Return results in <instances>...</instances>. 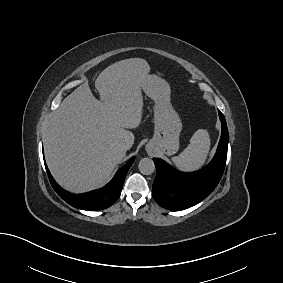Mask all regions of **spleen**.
I'll return each mask as SVG.
<instances>
[{"label": "spleen", "mask_w": 283, "mask_h": 283, "mask_svg": "<svg viewBox=\"0 0 283 283\" xmlns=\"http://www.w3.org/2000/svg\"><path fill=\"white\" fill-rule=\"evenodd\" d=\"M210 136L206 129L197 130L190 139V144L172 158L174 165L182 171L200 169L207 159L210 150Z\"/></svg>", "instance_id": "1"}]
</instances>
